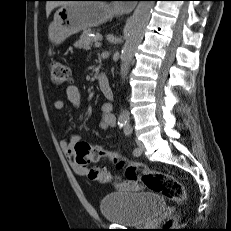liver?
Returning <instances> with one entry per match:
<instances>
[{
	"instance_id": "liver-1",
	"label": "liver",
	"mask_w": 231,
	"mask_h": 231,
	"mask_svg": "<svg viewBox=\"0 0 231 231\" xmlns=\"http://www.w3.org/2000/svg\"><path fill=\"white\" fill-rule=\"evenodd\" d=\"M67 2H64V1H50V2H47L46 4V14L47 16L50 15L51 11L58 7V6H63V5H66Z\"/></svg>"
}]
</instances>
